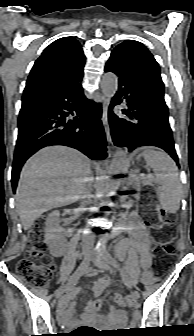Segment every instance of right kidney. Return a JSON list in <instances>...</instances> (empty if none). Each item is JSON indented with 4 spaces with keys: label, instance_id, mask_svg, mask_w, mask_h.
<instances>
[{
    "label": "right kidney",
    "instance_id": "right-kidney-1",
    "mask_svg": "<svg viewBox=\"0 0 194 336\" xmlns=\"http://www.w3.org/2000/svg\"><path fill=\"white\" fill-rule=\"evenodd\" d=\"M60 213L55 210L48 215L45 224V239L48 242L51 254L58 256L61 247Z\"/></svg>",
    "mask_w": 194,
    "mask_h": 336
}]
</instances>
